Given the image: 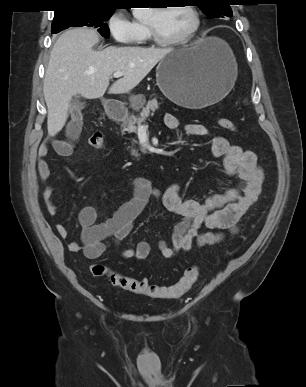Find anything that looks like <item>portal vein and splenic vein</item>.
<instances>
[{
    "label": "portal vein and splenic vein",
    "mask_w": 306,
    "mask_h": 387,
    "mask_svg": "<svg viewBox=\"0 0 306 387\" xmlns=\"http://www.w3.org/2000/svg\"><path fill=\"white\" fill-rule=\"evenodd\" d=\"M113 76H114L115 78H119V77L124 76V73H123V72H115V73L113 74Z\"/></svg>",
    "instance_id": "18ae733b"
}]
</instances>
